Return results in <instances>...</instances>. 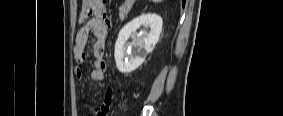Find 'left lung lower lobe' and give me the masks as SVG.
<instances>
[{
    "label": "left lung lower lobe",
    "instance_id": "obj_1",
    "mask_svg": "<svg viewBox=\"0 0 283 116\" xmlns=\"http://www.w3.org/2000/svg\"><path fill=\"white\" fill-rule=\"evenodd\" d=\"M183 4H185V0H182Z\"/></svg>",
    "mask_w": 283,
    "mask_h": 116
}]
</instances>
